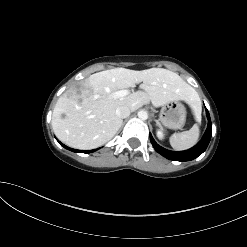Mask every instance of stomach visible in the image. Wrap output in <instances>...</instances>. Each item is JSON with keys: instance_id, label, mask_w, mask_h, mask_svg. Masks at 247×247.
<instances>
[{"instance_id": "stomach-1", "label": "stomach", "mask_w": 247, "mask_h": 247, "mask_svg": "<svg viewBox=\"0 0 247 247\" xmlns=\"http://www.w3.org/2000/svg\"><path fill=\"white\" fill-rule=\"evenodd\" d=\"M160 121L169 129H181L186 122V108L179 101L165 104L160 111Z\"/></svg>"}]
</instances>
